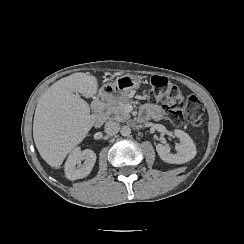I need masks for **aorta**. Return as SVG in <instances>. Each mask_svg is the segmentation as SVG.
I'll use <instances>...</instances> for the list:
<instances>
[{
	"mask_svg": "<svg viewBox=\"0 0 244 244\" xmlns=\"http://www.w3.org/2000/svg\"><path fill=\"white\" fill-rule=\"evenodd\" d=\"M120 133L122 136H129L131 134V128L128 125L122 126Z\"/></svg>",
	"mask_w": 244,
	"mask_h": 244,
	"instance_id": "1",
	"label": "aorta"
}]
</instances>
